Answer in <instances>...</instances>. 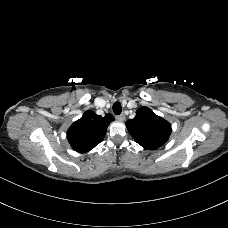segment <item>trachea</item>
<instances>
[{
    "instance_id": "3493384b",
    "label": "trachea",
    "mask_w": 228,
    "mask_h": 228,
    "mask_svg": "<svg viewBox=\"0 0 228 228\" xmlns=\"http://www.w3.org/2000/svg\"><path fill=\"white\" fill-rule=\"evenodd\" d=\"M122 111V107H121V104L119 102H115L113 104V112L116 114V115H119Z\"/></svg>"
}]
</instances>
